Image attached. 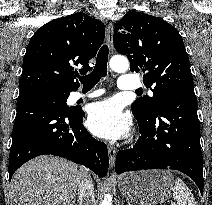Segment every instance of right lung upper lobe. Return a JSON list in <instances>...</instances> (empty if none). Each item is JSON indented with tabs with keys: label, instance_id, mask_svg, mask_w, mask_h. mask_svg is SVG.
<instances>
[{
	"label": "right lung upper lobe",
	"instance_id": "cb5924a9",
	"mask_svg": "<svg viewBox=\"0 0 212 205\" xmlns=\"http://www.w3.org/2000/svg\"><path fill=\"white\" fill-rule=\"evenodd\" d=\"M105 37L103 23L87 14L76 13L52 20L32 36L23 59L20 96L52 88L65 93L75 91L79 82L73 65L88 64Z\"/></svg>",
	"mask_w": 212,
	"mask_h": 205
}]
</instances>
